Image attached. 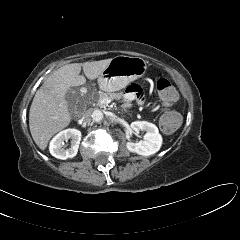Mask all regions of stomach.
Masks as SVG:
<instances>
[{"instance_id":"1","label":"stomach","mask_w":240,"mask_h":240,"mask_svg":"<svg viewBox=\"0 0 240 240\" xmlns=\"http://www.w3.org/2000/svg\"><path fill=\"white\" fill-rule=\"evenodd\" d=\"M146 69L147 62L141 57L116 56L99 76V87L107 92L121 90L142 77Z\"/></svg>"}]
</instances>
